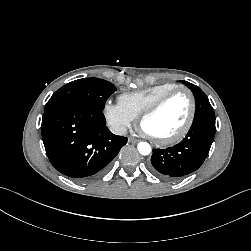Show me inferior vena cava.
I'll use <instances>...</instances> for the list:
<instances>
[{
	"label": "inferior vena cava",
	"instance_id": "inferior-vena-cava-1",
	"mask_svg": "<svg viewBox=\"0 0 251 251\" xmlns=\"http://www.w3.org/2000/svg\"><path fill=\"white\" fill-rule=\"evenodd\" d=\"M110 130L115 135H125L127 133V129L123 125H114V126H111Z\"/></svg>",
	"mask_w": 251,
	"mask_h": 251
}]
</instances>
